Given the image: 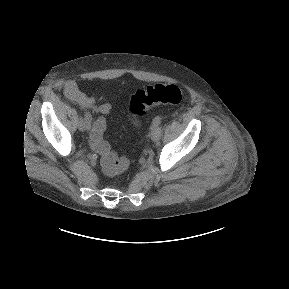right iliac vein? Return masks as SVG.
Listing matches in <instances>:
<instances>
[{"label": "right iliac vein", "instance_id": "63e3f726", "mask_svg": "<svg viewBox=\"0 0 289 289\" xmlns=\"http://www.w3.org/2000/svg\"><path fill=\"white\" fill-rule=\"evenodd\" d=\"M90 122L86 120L85 118H81L78 124L80 131H86L90 129Z\"/></svg>", "mask_w": 289, "mask_h": 289}]
</instances>
